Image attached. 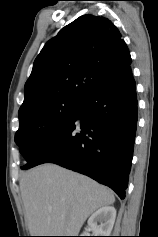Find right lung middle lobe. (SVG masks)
Here are the masks:
<instances>
[{
  "label": "right lung middle lobe",
  "mask_w": 158,
  "mask_h": 237,
  "mask_svg": "<svg viewBox=\"0 0 158 237\" xmlns=\"http://www.w3.org/2000/svg\"><path fill=\"white\" fill-rule=\"evenodd\" d=\"M82 102L57 98L19 115L15 142L28 162L38 147L77 112Z\"/></svg>",
  "instance_id": "right-lung-middle-lobe-1"
}]
</instances>
